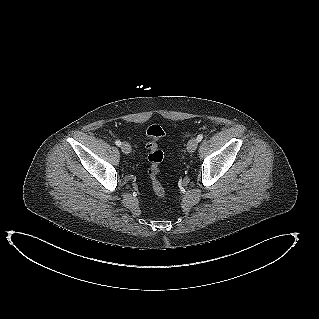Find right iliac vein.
Segmentation results:
<instances>
[{
	"mask_svg": "<svg viewBox=\"0 0 319 319\" xmlns=\"http://www.w3.org/2000/svg\"><path fill=\"white\" fill-rule=\"evenodd\" d=\"M121 150L125 153V154H129L131 152V146L127 143V142H123L121 145Z\"/></svg>",
	"mask_w": 319,
	"mask_h": 319,
	"instance_id": "63e3f726",
	"label": "right iliac vein"
}]
</instances>
